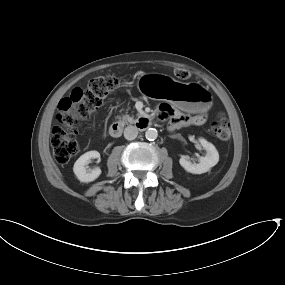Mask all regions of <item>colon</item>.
I'll return each mask as SVG.
<instances>
[{"mask_svg": "<svg viewBox=\"0 0 285 285\" xmlns=\"http://www.w3.org/2000/svg\"><path fill=\"white\" fill-rule=\"evenodd\" d=\"M174 74L179 80L190 77V72L183 68H176ZM126 84L117 76L106 74L93 78L86 88L75 87L60 100L56 123L51 130V146L58 163L64 164L78 153L76 126L79 121L89 118L109 95ZM210 131L220 141L229 138V123L223 113H219L212 121Z\"/></svg>", "mask_w": 285, "mask_h": 285, "instance_id": "1", "label": "colon"}]
</instances>
